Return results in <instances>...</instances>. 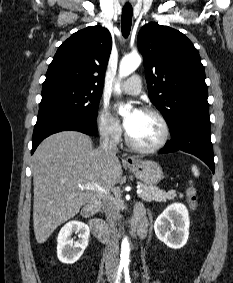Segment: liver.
Wrapping results in <instances>:
<instances>
[{
  "label": "liver",
  "mask_w": 233,
  "mask_h": 283,
  "mask_svg": "<svg viewBox=\"0 0 233 283\" xmlns=\"http://www.w3.org/2000/svg\"><path fill=\"white\" fill-rule=\"evenodd\" d=\"M33 223L37 243L78 214L93 190L80 185L95 183L108 190L121 179L122 167L116 155L93 149L89 136L62 131L42 141L33 155ZM85 190V191H84Z\"/></svg>",
  "instance_id": "1"
}]
</instances>
